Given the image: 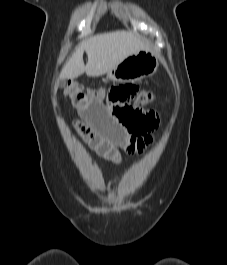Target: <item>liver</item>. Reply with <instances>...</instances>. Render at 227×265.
<instances>
[{
    "label": "liver",
    "instance_id": "6515ba94",
    "mask_svg": "<svg viewBox=\"0 0 227 265\" xmlns=\"http://www.w3.org/2000/svg\"><path fill=\"white\" fill-rule=\"evenodd\" d=\"M148 45L131 31H112L85 39L63 67L62 79H75L84 72L89 77H98L114 69L133 53L148 49ZM88 62L84 65L83 53Z\"/></svg>",
    "mask_w": 227,
    "mask_h": 265
}]
</instances>
